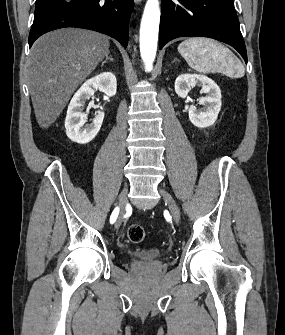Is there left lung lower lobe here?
Instances as JSON below:
<instances>
[{"mask_svg": "<svg viewBox=\"0 0 285 335\" xmlns=\"http://www.w3.org/2000/svg\"><path fill=\"white\" fill-rule=\"evenodd\" d=\"M185 36L208 37L247 53L233 0H162L159 47Z\"/></svg>", "mask_w": 285, "mask_h": 335, "instance_id": "0a47b994", "label": "left lung lower lobe"}]
</instances>
